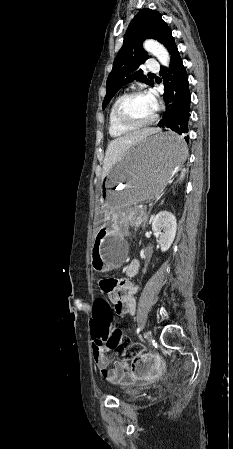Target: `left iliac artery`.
Listing matches in <instances>:
<instances>
[{
  "label": "left iliac artery",
  "instance_id": "44dca946",
  "mask_svg": "<svg viewBox=\"0 0 233 449\" xmlns=\"http://www.w3.org/2000/svg\"><path fill=\"white\" fill-rule=\"evenodd\" d=\"M140 333V328L138 327L137 329H136V334H139Z\"/></svg>",
  "mask_w": 233,
  "mask_h": 449
}]
</instances>
